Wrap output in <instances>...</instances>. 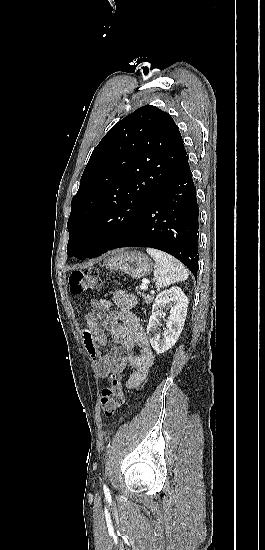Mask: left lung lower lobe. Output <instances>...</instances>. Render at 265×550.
<instances>
[{
	"instance_id": "left-lung-lower-lobe-1",
	"label": "left lung lower lobe",
	"mask_w": 265,
	"mask_h": 550,
	"mask_svg": "<svg viewBox=\"0 0 265 550\" xmlns=\"http://www.w3.org/2000/svg\"><path fill=\"white\" fill-rule=\"evenodd\" d=\"M198 212L186 154L134 224L94 257L120 247H151L173 255L196 276Z\"/></svg>"
}]
</instances>
